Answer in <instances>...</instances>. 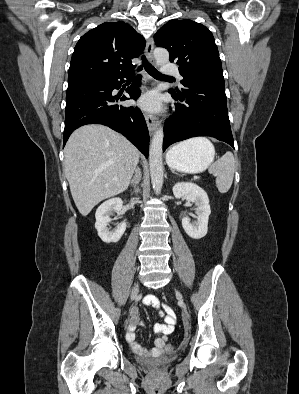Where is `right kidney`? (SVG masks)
<instances>
[{
	"instance_id": "obj_1",
	"label": "right kidney",
	"mask_w": 299,
	"mask_h": 394,
	"mask_svg": "<svg viewBox=\"0 0 299 394\" xmlns=\"http://www.w3.org/2000/svg\"><path fill=\"white\" fill-rule=\"evenodd\" d=\"M123 201L120 198H112L103 202L95 213L96 223L95 228L98 236L105 243H116L123 236L126 230V223L122 222L117 229L110 231L108 224L111 221L110 216L112 213L121 211Z\"/></svg>"
}]
</instances>
